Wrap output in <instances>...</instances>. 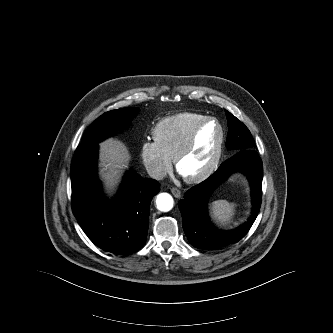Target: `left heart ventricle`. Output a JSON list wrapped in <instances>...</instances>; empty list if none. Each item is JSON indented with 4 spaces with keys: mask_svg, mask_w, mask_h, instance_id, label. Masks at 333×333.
Listing matches in <instances>:
<instances>
[{
    "mask_svg": "<svg viewBox=\"0 0 333 333\" xmlns=\"http://www.w3.org/2000/svg\"><path fill=\"white\" fill-rule=\"evenodd\" d=\"M219 141L216 124L206 125L197 135L191 151L180 162L181 175L190 177L205 170L214 158Z\"/></svg>",
    "mask_w": 333,
    "mask_h": 333,
    "instance_id": "1",
    "label": "left heart ventricle"
}]
</instances>
